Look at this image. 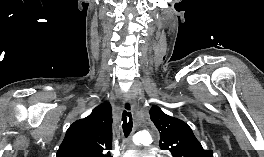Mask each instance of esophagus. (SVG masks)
Returning <instances> with one entry per match:
<instances>
[{
	"instance_id": "1",
	"label": "esophagus",
	"mask_w": 264,
	"mask_h": 157,
	"mask_svg": "<svg viewBox=\"0 0 264 157\" xmlns=\"http://www.w3.org/2000/svg\"><path fill=\"white\" fill-rule=\"evenodd\" d=\"M125 101L128 102L130 104V106H131V109L134 110L135 102H134V100L132 99V97L129 94H127L125 96Z\"/></svg>"
}]
</instances>
